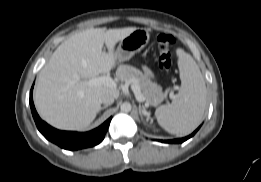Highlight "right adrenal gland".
<instances>
[{
    "mask_svg": "<svg viewBox=\"0 0 261 182\" xmlns=\"http://www.w3.org/2000/svg\"><path fill=\"white\" fill-rule=\"evenodd\" d=\"M107 107H108L107 105L101 107L99 112H101V110H104V109L107 108Z\"/></svg>",
    "mask_w": 261,
    "mask_h": 182,
    "instance_id": "1",
    "label": "right adrenal gland"
}]
</instances>
